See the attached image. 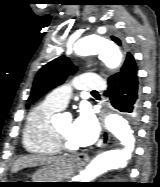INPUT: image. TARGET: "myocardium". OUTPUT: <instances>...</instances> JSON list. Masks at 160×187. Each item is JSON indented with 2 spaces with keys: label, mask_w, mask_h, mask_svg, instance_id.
<instances>
[{
  "label": "myocardium",
  "mask_w": 160,
  "mask_h": 187,
  "mask_svg": "<svg viewBox=\"0 0 160 187\" xmlns=\"http://www.w3.org/2000/svg\"><path fill=\"white\" fill-rule=\"evenodd\" d=\"M53 132L60 152L74 154L80 151L79 148L71 147V145L66 141L65 136L60 132L56 125H53Z\"/></svg>",
  "instance_id": "f54148a6"
}]
</instances>
